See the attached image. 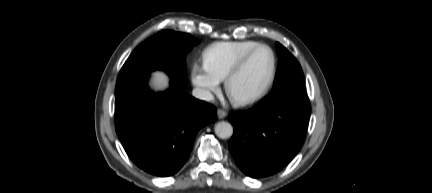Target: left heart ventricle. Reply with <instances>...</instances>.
I'll return each instance as SVG.
<instances>
[{
  "instance_id": "1",
  "label": "left heart ventricle",
  "mask_w": 432,
  "mask_h": 193,
  "mask_svg": "<svg viewBox=\"0 0 432 193\" xmlns=\"http://www.w3.org/2000/svg\"><path fill=\"white\" fill-rule=\"evenodd\" d=\"M271 69V52L266 48L259 49L232 80V95L236 98H247L259 93L265 86Z\"/></svg>"
}]
</instances>
